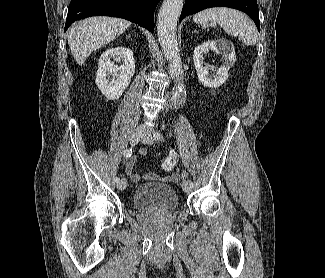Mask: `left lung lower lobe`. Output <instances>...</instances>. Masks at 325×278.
<instances>
[{"mask_svg":"<svg viewBox=\"0 0 325 278\" xmlns=\"http://www.w3.org/2000/svg\"><path fill=\"white\" fill-rule=\"evenodd\" d=\"M185 2L186 5L183 6L179 21L203 9L224 6L238 9L248 14L255 22L260 32L259 13L256 0H185Z\"/></svg>","mask_w":325,"mask_h":278,"instance_id":"0a47b994","label":"left lung lower lobe"}]
</instances>
